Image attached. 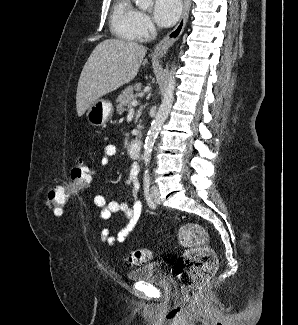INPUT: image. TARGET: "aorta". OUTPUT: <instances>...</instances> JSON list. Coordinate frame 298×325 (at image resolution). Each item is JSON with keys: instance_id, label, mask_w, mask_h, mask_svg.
I'll list each match as a JSON object with an SVG mask.
<instances>
[{"instance_id": "1", "label": "aorta", "mask_w": 298, "mask_h": 325, "mask_svg": "<svg viewBox=\"0 0 298 325\" xmlns=\"http://www.w3.org/2000/svg\"><path fill=\"white\" fill-rule=\"evenodd\" d=\"M135 4L136 6H138V8H142V10H147V8L153 6L154 2L153 0H135ZM176 68H177L176 62H173L168 72L165 90L161 98V104L158 108V112H156V116L145 138L143 158H144V165L146 167V171H148V167L150 165L151 152H152L153 144L156 140V136L172 108V104L174 100V90L176 86V78H175Z\"/></svg>"}]
</instances>
